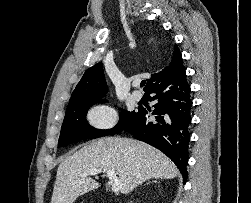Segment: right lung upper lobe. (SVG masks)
<instances>
[{"instance_id": "1", "label": "right lung upper lobe", "mask_w": 251, "mask_h": 203, "mask_svg": "<svg viewBox=\"0 0 251 203\" xmlns=\"http://www.w3.org/2000/svg\"><path fill=\"white\" fill-rule=\"evenodd\" d=\"M181 53L175 45L171 62L168 66L162 69L160 72L152 74L150 79H147L145 92L153 85L161 82L177 68L182 66ZM107 85L104 78L103 64L97 63L90 67L84 73L82 79L73 91L69 104L79 103L84 101L101 100L106 95ZM68 104V105H69Z\"/></svg>"}]
</instances>
